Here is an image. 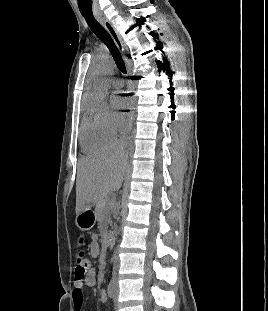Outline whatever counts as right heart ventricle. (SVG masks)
Wrapping results in <instances>:
<instances>
[{"mask_svg":"<svg viewBox=\"0 0 268 311\" xmlns=\"http://www.w3.org/2000/svg\"><path fill=\"white\" fill-rule=\"evenodd\" d=\"M115 139L99 116L94 112H88L82 119L80 127V144L87 153L97 152L108 147Z\"/></svg>","mask_w":268,"mask_h":311,"instance_id":"e07e8e85","label":"right heart ventricle"}]
</instances>
